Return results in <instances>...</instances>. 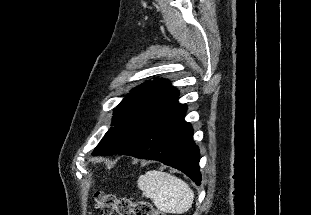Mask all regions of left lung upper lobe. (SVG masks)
I'll return each instance as SVG.
<instances>
[{"mask_svg": "<svg viewBox=\"0 0 311 215\" xmlns=\"http://www.w3.org/2000/svg\"><path fill=\"white\" fill-rule=\"evenodd\" d=\"M178 95V90L164 79H155L131 90L114 109L112 127L92 154L113 155L120 152L154 115Z\"/></svg>", "mask_w": 311, "mask_h": 215, "instance_id": "left-lung-upper-lobe-1", "label": "left lung upper lobe"}]
</instances>
